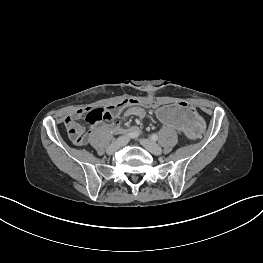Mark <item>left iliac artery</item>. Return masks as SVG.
<instances>
[{
  "label": "left iliac artery",
  "mask_w": 263,
  "mask_h": 263,
  "mask_svg": "<svg viewBox=\"0 0 263 263\" xmlns=\"http://www.w3.org/2000/svg\"><path fill=\"white\" fill-rule=\"evenodd\" d=\"M151 139H152L153 141H157V140H158L157 134H153V135L151 136Z\"/></svg>",
  "instance_id": "obj_1"
}]
</instances>
